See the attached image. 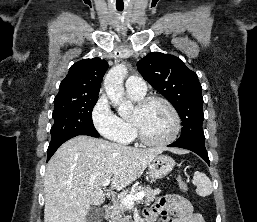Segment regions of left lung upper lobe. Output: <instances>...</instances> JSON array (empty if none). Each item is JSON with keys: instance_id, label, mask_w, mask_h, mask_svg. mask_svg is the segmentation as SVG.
I'll list each match as a JSON object with an SVG mask.
<instances>
[{"instance_id": "left-lung-upper-lobe-1", "label": "left lung upper lobe", "mask_w": 257, "mask_h": 222, "mask_svg": "<svg viewBox=\"0 0 257 222\" xmlns=\"http://www.w3.org/2000/svg\"><path fill=\"white\" fill-rule=\"evenodd\" d=\"M144 79L161 93L182 119L179 142L205 141L202 87L197 74L176 56L152 52L137 63Z\"/></svg>"}]
</instances>
